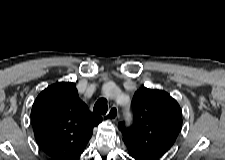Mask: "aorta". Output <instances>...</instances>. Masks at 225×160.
Listing matches in <instances>:
<instances>
[{
    "label": "aorta",
    "mask_w": 225,
    "mask_h": 160,
    "mask_svg": "<svg viewBox=\"0 0 225 160\" xmlns=\"http://www.w3.org/2000/svg\"><path fill=\"white\" fill-rule=\"evenodd\" d=\"M113 92H114V89L112 88L111 90L106 91V95L111 97V96H113ZM126 114H128V110H126Z\"/></svg>",
    "instance_id": "obj_1"
}]
</instances>
